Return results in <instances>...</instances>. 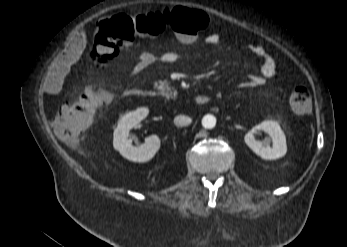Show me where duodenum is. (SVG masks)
<instances>
[{
  "mask_svg": "<svg viewBox=\"0 0 347 247\" xmlns=\"http://www.w3.org/2000/svg\"><path fill=\"white\" fill-rule=\"evenodd\" d=\"M129 96L152 97L153 91L147 89L131 88L127 91ZM197 105H204L209 102V97L205 94L197 95L194 99Z\"/></svg>",
  "mask_w": 347,
  "mask_h": 247,
  "instance_id": "obj_1",
  "label": "duodenum"
}]
</instances>
